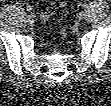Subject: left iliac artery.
<instances>
[{
	"mask_svg": "<svg viewBox=\"0 0 111 106\" xmlns=\"http://www.w3.org/2000/svg\"><path fill=\"white\" fill-rule=\"evenodd\" d=\"M81 6H82L83 8H85V7H86V4H85V3H83Z\"/></svg>",
	"mask_w": 111,
	"mask_h": 106,
	"instance_id": "obj_1",
	"label": "left iliac artery"
}]
</instances>
